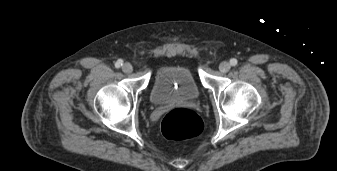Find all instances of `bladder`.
I'll list each match as a JSON object with an SVG mask.
<instances>
[{
	"label": "bladder",
	"mask_w": 337,
	"mask_h": 171,
	"mask_svg": "<svg viewBox=\"0 0 337 171\" xmlns=\"http://www.w3.org/2000/svg\"><path fill=\"white\" fill-rule=\"evenodd\" d=\"M199 96L200 89L187 65H163L157 69L150 92L153 104L195 101Z\"/></svg>",
	"instance_id": "bladder-1"
}]
</instances>
